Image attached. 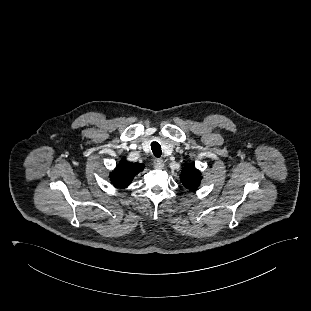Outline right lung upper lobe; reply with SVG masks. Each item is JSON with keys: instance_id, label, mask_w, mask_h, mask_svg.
<instances>
[{"instance_id": "1", "label": "right lung upper lobe", "mask_w": 311, "mask_h": 311, "mask_svg": "<svg viewBox=\"0 0 311 311\" xmlns=\"http://www.w3.org/2000/svg\"><path fill=\"white\" fill-rule=\"evenodd\" d=\"M144 167V164L128 162L123 158L110 174L111 183L118 188H127Z\"/></svg>"}]
</instances>
